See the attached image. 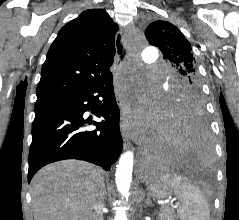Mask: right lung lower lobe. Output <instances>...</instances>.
Listing matches in <instances>:
<instances>
[{
	"instance_id": "98d812e1",
	"label": "right lung lower lobe",
	"mask_w": 239,
	"mask_h": 220,
	"mask_svg": "<svg viewBox=\"0 0 239 220\" xmlns=\"http://www.w3.org/2000/svg\"><path fill=\"white\" fill-rule=\"evenodd\" d=\"M89 110L104 120H85L83 114ZM119 117L111 73L82 93L35 105L28 182L41 167L64 159L110 170L122 151ZM89 124L97 128L89 131Z\"/></svg>"
}]
</instances>
